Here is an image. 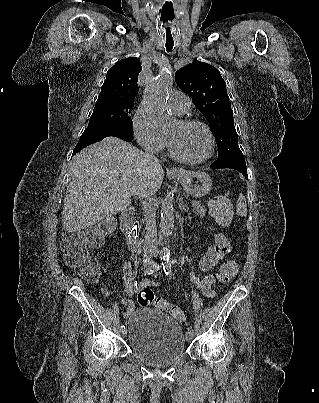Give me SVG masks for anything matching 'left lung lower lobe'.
Returning <instances> with one entry per match:
<instances>
[{
    "label": "left lung lower lobe",
    "mask_w": 319,
    "mask_h": 403,
    "mask_svg": "<svg viewBox=\"0 0 319 403\" xmlns=\"http://www.w3.org/2000/svg\"><path fill=\"white\" fill-rule=\"evenodd\" d=\"M210 168H213V169H221V168L235 169V170L241 172L245 176V178L248 179L247 167H246L244 157L229 156V157H226V158H220V159L216 160L213 164H211Z\"/></svg>",
    "instance_id": "left-lung-lower-lobe-1"
}]
</instances>
